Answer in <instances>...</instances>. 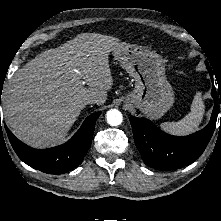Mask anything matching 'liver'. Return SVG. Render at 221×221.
I'll list each match as a JSON object with an SVG mask.
<instances>
[{
    "mask_svg": "<svg viewBox=\"0 0 221 221\" xmlns=\"http://www.w3.org/2000/svg\"><path fill=\"white\" fill-rule=\"evenodd\" d=\"M118 43L112 36L79 34L17 71L4 99V117L12 132L33 147L59 143L86 99L99 106L106 102L113 85L108 58Z\"/></svg>",
    "mask_w": 221,
    "mask_h": 221,
    "instance_id": "obj_1",
    "label": "liver"
}]
</instances>
